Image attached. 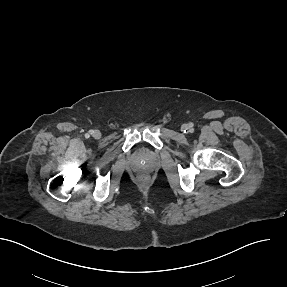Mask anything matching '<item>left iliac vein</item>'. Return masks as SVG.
Listing matches in <instances>:
<instances>
[{
	"label": "left iliac vein",
	"instance_id": "4c4485c4",
	"mask_svg": "<svg viewBox=\"0 0 287 287\" xmlns=\"http://www.w3.org/2000/svg\"><path fill=\"white\" fill-rule=\"evenodd\" d=\"M188 128H189L188 125H183V126H182V129H184V130H187Z\"/></svg>",
	"mask_w": 287,
	"mask_h": 287
}]
</instances>
